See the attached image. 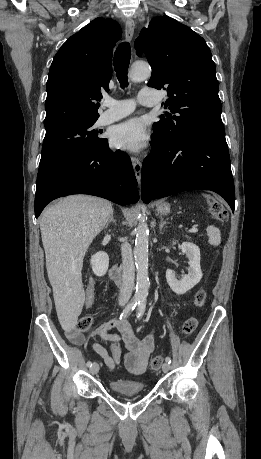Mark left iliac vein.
I'll list each match as a JSON object with an SVG mask.
<instances>
[{
	"label": "left iliac vein",
	"instance_id": "obj_1",
	"mask_svg": "<svg viewBox=\"0 0 261 459\" xmlns=\"http://www.w3.org/2000/svg\"><path fill=\"white\" fill-rule=\"evenodd\" d=\"M170 364L168 362H165L163 365H162V370L164 373H167L169 370H170Z\"/></svg>",
	"mask_w": 261,
	"mask_h": 459
}]
</instances>
